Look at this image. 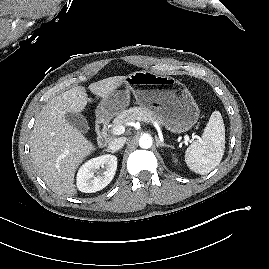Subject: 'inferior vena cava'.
Masks as SVG:
<instances>
[{
    "label": "inferior vena cava",
    "mask_w": 269,
    "mask_h": 269,
    "mask_svg": "<svg viewBox=\"0 0 269 269\" xmlns=\"http://www.w3.org/2000/svg\"><path fill=\"white\" fill-rule=\"evenodd\" d=\"M125 142H126L125 137H119V138H116V139L112 140L109 143L108 147H109L110 150L117 151V150L121 149L124 146Z\"/></svg>",
    "instance_id": "inferior-vena-cava-1"
}]
</instances>
